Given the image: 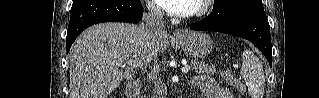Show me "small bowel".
I'll return each mask as SVG.
<instances>
[{"mask_svg":"<svg viewBox=\"0 0 319 98\" xmlns=\"http://www.w3.org/2000/svg\"><path fill=\"white\" fill-rule=\"evenodd\" d=\"M194 84L205 89L208 98H234L229 89L215 84L206 77H197Z\"/></svg>","mask_w":319,"mask_h":98,"instance_id":"small-bowel-1","label":"small bowel"}]
</instances>
